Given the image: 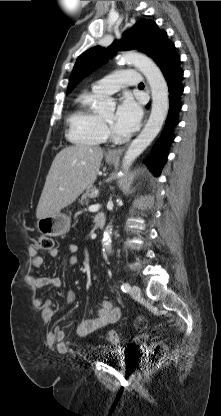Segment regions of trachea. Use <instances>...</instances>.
Wrapping results in <instances>:
<instances>
[{
  "label": "trachea",
  "mask_w": 221,
  "mask_h": 416,
  "mask_svg": "<svg viewBox=\"0 0 221 416\" xmlns=\"http://www.w3.org/2000/svg\"><path fill=\"white\" fill-rule=\"evenodd\" d=\"M138 87H144V84H143V83H140V84L138 85Z\"/></svg>",
  "instance_id": "trachea-1"
}]
</instances>
